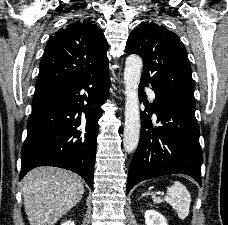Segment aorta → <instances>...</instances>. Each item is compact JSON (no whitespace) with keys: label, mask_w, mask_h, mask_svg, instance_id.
<instances>
[{"label":"aorta","mask_w":228,"mask_h":225,"mask_svg":"<svg viewBox=\"0 0 228 225\" xmlns=\"http://www.w3.org/2000/svg\"><path fill=\"white\" fill-rule=\"evenodd\" d=\"M142 58L137 54H130L125 60L124 84L126 94L125 127L123 147L126 153H133L138 147L140 139V110L138 98V82L142 70Z\"/></svg>","instance_id":"aorta-1"}]
</instances>
